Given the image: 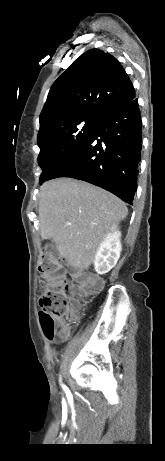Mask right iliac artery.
<instances>
[{"label":"right iliac artery","instance_id":"82829eb1","mask_svg":"<svg viewBox=\"0 0 165 461\" xmlns=\"http://www.w3.org/2000/svg\"><path fill=\"white\" fill-rule=\"evenodd\" d=\"M63 388L65 389V391L68 390L67 387H66L65 385H63Z\"/></svg>","mask_w":165,"mask_h":461}]
</instances>
